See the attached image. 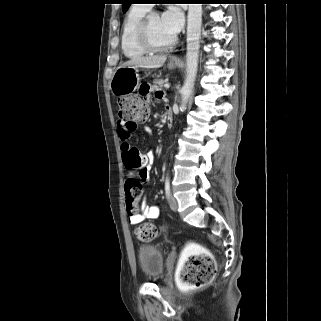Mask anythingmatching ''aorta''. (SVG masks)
<instances>
[{
    "instance_id": "762f6f07",
    "label": "aorta",
    "mask_w": 321,
    "mask_h": 321,
    "mask_svg": "<svg viewBox=\"0 0 321 321\" xmlns=\"http://www.w3.org/2000/svg\"><path fill=\"white\" fill-rule=\"evenodd\" d=\"M202 4H189L187 17L186 79L181 90V107H185L193 90L201 38Z\"/></svg>"
}]
</instances>
